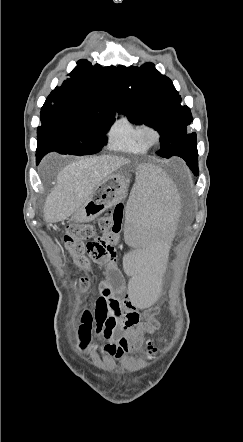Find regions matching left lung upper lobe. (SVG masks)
Wrapping results in <instances>:
<instances>
[{"mask_svg": "<svg viewBox=\"0 0 243 442\" xmlns=\"http://www.w3.org/2000/svg\"><path fill=\"white\" fill-rule=\"evenodd\" d=\"M121 91L118 111L130 122L148 125L160 133L157 155L183 158L198 174V152L195 133H187L193 121L190 109L181 105V97L172 81L158 72L154 64L140 67L119 66Z\"/></svg>", "mask_w": 243, "mask_h": 442, "instance_id": "left-lung-upper-lobe-1", "label": "left lung upper lobe"}]
</instances>
